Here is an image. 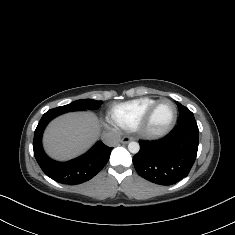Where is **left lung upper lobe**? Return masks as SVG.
I'll return each mask as SVG.
<instances>
[{
    "instance_id": "5c2ea615",
    "label": "left lung upper lobe",
    "mask_w": 235,
    "mask_h": 235,
    "mask_svg": "<svg viewBox=\"0 0 235 235\" xmlns=\"http://www.w3.org/2000/svg\"><path fill=\"white\" fill-rule=\"evenodd\" d=\"M179 109V119L176 127L198 128L193 113L185 106L177 102Z\"/></svg>"
}]
</instances>
